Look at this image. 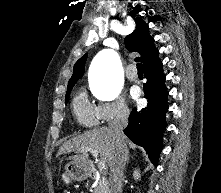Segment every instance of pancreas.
Returning a JSON list of instances; mask_svg holds the SVG:
<instances>
[{"label": "pancreas", "instance_id": "pancreas-1", "mask_svg": "<svg viewBox=\"0 0 221 193\" xmlns=\"http://www.w3.org/2000/svg\"><path fill=\"white\" fill-rule=\"evenodd\" d=\"M93 193H107V187L103 180L99 179L96 181Z\"/></svg>", "mask_w": 221, "mask_h": 193}]
</instances>
